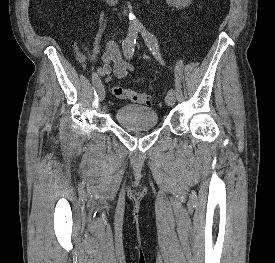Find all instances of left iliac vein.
Listing matches in <instances>:
<instances>
[{"label":"left iliac vein","instance_id":"obj_1","mask_svg":"<svg viewBox=\"0 0 275 263\" xmlns=\"http://www.w3.org/2000/svg\"><path fill=\"white\" fill-rule=\"evenodd\" d=\"M165 103L168 106H173L175 104V96L171 94H167V96L165 97Z\"/></svg>","mask_w":275,"mask_h":263}]
</instances>
